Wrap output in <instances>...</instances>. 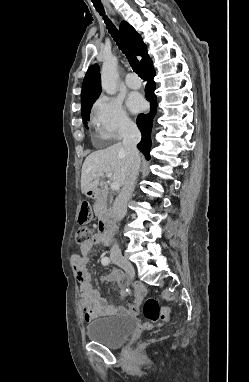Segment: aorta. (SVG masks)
Here are the masks:
<instances>
[{
  "instance_id": "762f6f07",
  "label": "aorta",
  "mask_w": 249,
  "mask_h": 382,
  "mask_svg": "<svg viewBox=\"0 0 249 382\" xmlns=\"http://www.w3.org/2000/svg\"><path fill=\"white\" fill-rule=\"evenodd\" d=\"M117 59L110 57L103 62L101 69V87L108 95L117 92Z\"/></svg>"
}]
</instances>
